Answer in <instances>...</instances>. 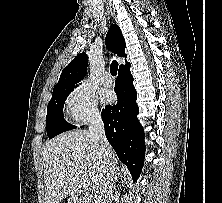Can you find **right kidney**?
<instances>
[{"label": "right kidney", "instance_id": "obj_1", "mask_svg": "<svg viewBox=\"0 0 222 203\" xmlns=\"http://www.w3.org/2000/svg\"><path fill=\"white\" fill-rule=\"evenodd\" d=\"M120 193L116 192L115 201H119Z\"/></svg>", "mask_w": 222, "mask_h": 203}]
</instances>
